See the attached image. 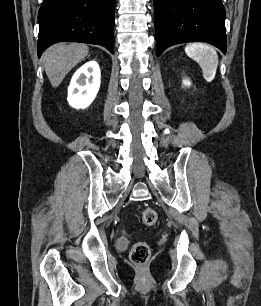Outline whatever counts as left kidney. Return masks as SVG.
<instances>
[{"instance_id":"5707ae66","label":"left kidney","mask_w":261,"mask_h":306,"mask_svg":"<svg viewBox=\"0 0 261 306\" xmlns=\"http://www.w3.org/2000/svg\"><path fill=\"white\" fill-rule=\"evenodd\" d=\"M183 83H184L185 85H188V86L190 85V81H188V80H184Z\"/></svg>"}]
</instances>
